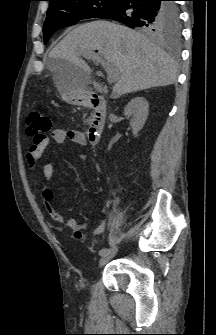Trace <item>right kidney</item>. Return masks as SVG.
<instances>
[{"instance_id":"1","label":"right kidney","mask_w":216,"mask_h":335,"mask_svg":"<svg viewBox=\"0 0 216 335\" xmlns=\"http://www.w3.org/2000/svg\"><path fill=\"white\" fill-rule=\"evenodd\" d=\"M148 102L144 97H135L124 108V114L130 118V126L133 134L137 133L143 128L148 117Z\"/></svg>"}]
</instances>
